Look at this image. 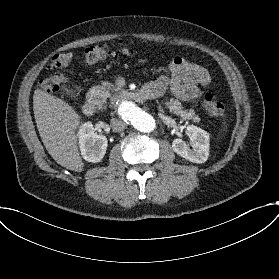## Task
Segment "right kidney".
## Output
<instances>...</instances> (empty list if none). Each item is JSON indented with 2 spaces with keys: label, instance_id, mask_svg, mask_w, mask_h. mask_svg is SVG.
<instances>
[{
  "label": "right kidney",
  "instance_id": "right-kidney-1",
  "mask_svg": "<svg viewBox=\"0 0 279 279\" xmlns=\"http://www.w3.org/2000/svg\"><path fill=\"white\" fill-rule=\"evenodd\" d=\"M80 149L83 158L89 162H99L107 150V138L97 134L91 123L84 124L79 130Z\"/></svg>",
  "mask_w": 279,
  "mask_h": 279
}]
</instances>
